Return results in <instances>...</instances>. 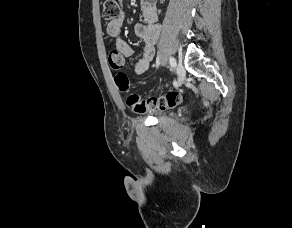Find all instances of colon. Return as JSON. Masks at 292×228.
Returning a JSON list of instances; mask_svg holds the SVG:
<instances>
[{
	"instance_id": "1",
	"label": "colon",
	"mask_w": 292,
	"mask_h": 228,
	"mask_svg": "<svg viewBox=\"0 0 292 228\" xmlns=\"http://www.w3.org/2000/svg\"><path fill=\"white\" fill-rule=\"evenodd\" d=\"M103 17L112 22L121 17V8L118 0H104ZM111 68L118 70L122 67L123 59L115 51L110 52L108 57ZM116 85L121 92L128 91V80L124 74H118L115 77ZM182 101V96L178 92H170L165 96L142 98L137 94H131L127 98L128 107L135 113H145L153 110H166L174 108Z\"/></svg>"
}]
</instances>
